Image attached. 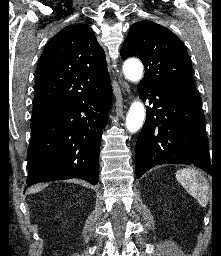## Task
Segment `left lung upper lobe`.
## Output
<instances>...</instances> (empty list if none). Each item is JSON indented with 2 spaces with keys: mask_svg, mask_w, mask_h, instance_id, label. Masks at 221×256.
Masks as SVG:
<instances>
[{
  "mask_svg": "<svg viewBox=\"0 0 221 256\" xmlns=\"http://www.w3.org/2000/svg\"><path fill=\"white\" fill-rule=\"evenodd\" d=\"M121 56L140 58L145 76L140 84L196 93L188 53L169 29L152 21L134 23L122 46Z\"/></svg>",
  "mask_w": 221,
  "mask_h": 256,
  "instance_id": "obj_1",
  "label": "left lung upper lobe"
}]
</instances>
